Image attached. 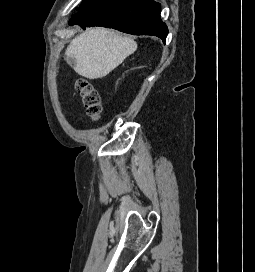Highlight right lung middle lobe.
<instances>
[{
    "mask_svg": "<svg viewBox=\"0 0 255 272\" xmlns=\"http://www.w3.org/2000/svg\"><path fill=\"white\" fill-rule=\"evenodd\" d=\"M90 1H91V0H84V1L81 3L80 7H82L83 5H85L86 3L90 2Z\"/></svg>",
    "mask_w": 255,
    "mask_h": 272,
    "instance_id": "dd1d6c3e",
    "label": "right lung middle lobe"
}]
</instances>
